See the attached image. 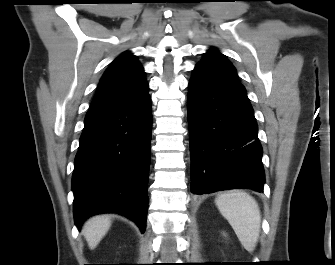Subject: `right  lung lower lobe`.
I'll use <instances>...</instances> for the list:
<instances>
[{
    "instance_id": "right-lung-lower-lobe-1",
    "label": "right lung lower lobe",
    "mask_w": 335,
    "mask_h": 265,
    "mask_svg": "<svg viewBox=\"0 0 335 265\" xmlns=\"http://www.w3.org/2000/svg\"><path fill=\"white\" fill-rule=\"evenodd\" d=\"M151 130L148 93L88 110L72 177L78 229L92 215L119 213L145 231Z\"/></svg>"
}]
</instances>
